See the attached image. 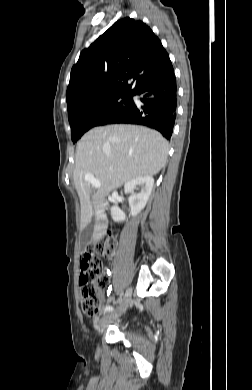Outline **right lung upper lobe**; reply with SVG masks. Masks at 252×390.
<instances>
[{
	"mask_svg": "<svg viewBox=\"0 0 252 390\" xmlns=\"http://www.w3.org/2000/svg\"><path fill=\"white\" fill-rule=\"evenodd\" d=\"M173 72L168 53L150 27L130 18L118 20L81 52L72 67L68 112L112 95H134L145 83Z\"/></svg>",
	"mask_w": 252,
	"mask_h": 390,
	"instance_id": "1",
	"label": "right lung upper lobe"
}]
</instances>
